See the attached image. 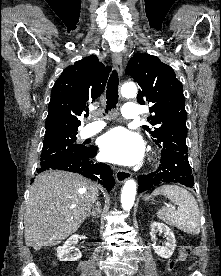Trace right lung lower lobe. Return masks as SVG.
<instances>
[{"instance_id":"obj_1","label":"right lung lower lobe","mask_w":221,"mask_h":276,"mask_svg":"<svg viewBox=\"0 0 221 276\" xmlns=\"http://www.w3.org/2000/svg\"><path fill=\"white\" fill-rule=\"evenodd\" d=\"M97 147H89L86 153L79 155H67L58 158L46 159L40 163L38 172L49 169H60L82 174L92 180H98L107 190L114 187L115 180L112 170L106 164L96 163L92 158L96 155ZM33 181V180H32Z\"/></svg>"}]
</instances>
